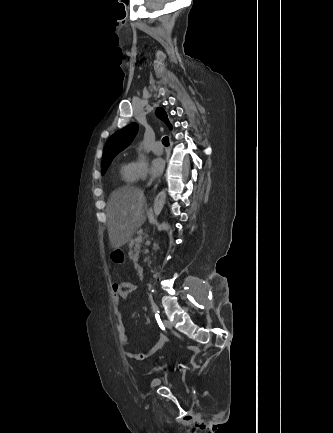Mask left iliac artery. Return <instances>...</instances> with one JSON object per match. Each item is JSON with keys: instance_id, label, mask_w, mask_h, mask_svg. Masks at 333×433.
Here are the masks:
<instances>
[{"instance_id": "44dca946", "label": "left iliac artery", "mask_w": 333, "mask_h": 433, "mask_svg": "<svg viewBox=\"0 0 333 433\" xmlns=\"http://www.w3.org/2000/svg\"><path fill=\"white\" fill-rule=\"evenodd\" d=\"M151 304H152L153 312L155 313V315H158L159 313L158 306L154 302H152Z\"/></svg>"}]
</instances>
